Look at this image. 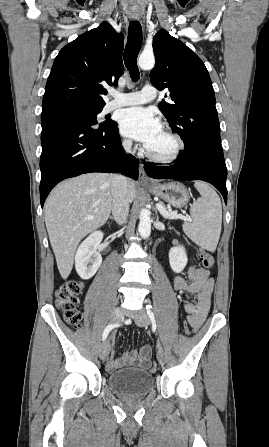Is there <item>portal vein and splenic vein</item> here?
<instances>
[{
  "mask_svg": "<svg viewBox=\"0 0 269 447\" xmlns=\"http://www.w3.org/2000/svg\"><path fill=\"white\" fill-rule=\"evenodd\" d=\"M156 208L166 220H184V222H192L190 216H182V214H175V212H167L162 204H156Z\"/></svg>",
  "mask_w": 269,
  "mask_h": 447,
  "instance_id": "18ae733b",
  "label": "portal vein and splenic vein"
}]
</instances>
